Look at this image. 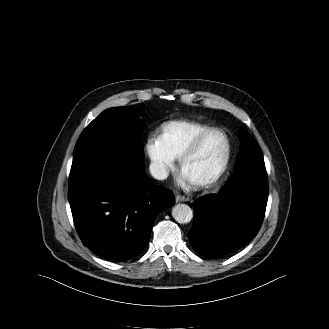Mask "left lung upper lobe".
Segmentation results:
<instances>
[{
  "label": "left lung upper lobe",
  "instance_id": "1",
  "mask_svg": "<svg viewBox=\"0 0 329 329\" xmlns=\"http://www.w3.org/2000/svg\"><path fill=\"white\" fill-rule=\"evenodd\" d=\"M244 137L246 142L238 160L240 161L239 170H253L265 167L262 150L259 144L255 140L249 138L247 134H245Z\"/></svg>",
  "mask_w": 329,
  "mask_h": 329
}]
</instances>
